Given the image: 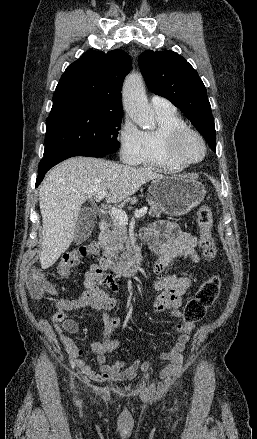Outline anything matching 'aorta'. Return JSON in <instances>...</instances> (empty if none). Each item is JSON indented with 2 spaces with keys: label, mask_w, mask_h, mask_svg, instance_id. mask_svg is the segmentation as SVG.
I'll list each match as a JSON object with an SVG mask.
<instances>
[{
  "label": "aorta",
  "mask_w": 257,
  "mask_h": 439,
  "mask_svg": "<svg viewBox=\"0 0 257 439\" xmlns=\"http://www.w3.org/2000/svg\"><path fill=\"white\" fill-rule=\"evenodd\" d=\"M123 107L129 117L144 129L155 128V114L150 107L140 75L127 77L123 86Z\"/></svg>",
  "instance_id": "1"
}]
</instances>
